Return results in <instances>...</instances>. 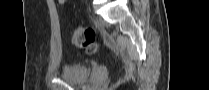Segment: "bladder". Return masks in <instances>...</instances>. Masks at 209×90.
Returning a JSON list of instances; mask_svg holds the SVG:
<instances>
[{
  "label": "bladder",
  "mask_w": 209,
  "mask_h": 90,
  "mask_svg": "<svg viewBox=\"0 0 209 90\" xmlns=\"http://www.w3.org/2000/svg\"><path fill=\"white\" fill-rule=\"evenodd\" d=\"M90 72L86 65L73 63L64 64L61 76L64 80L71 83H84L89 78Z\"/></svg>",
  "instance_id": "31cf9c89"
}]
</instances>
